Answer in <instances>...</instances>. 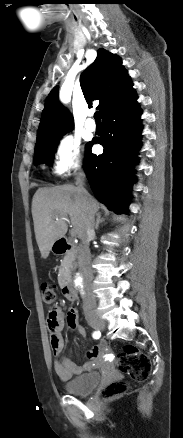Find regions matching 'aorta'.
Here are the masks:
<instances>
[{
    "label": "aorta",
    "instance_id": "762f6f07",
    "mask_svg": "<svg viewBox=\"0 0 183 438\" xmlns=\"http://www.w3.org/2000/svg\"><path fill=\"white\" fill-rule=\"evenodd\" d=\"M72 284L80 291H84L86 288L85 279L82 271H75L72 276Z\"/></svg>",
    "mask_w": 183,
    "mask_h": 438
}]
</instances>
